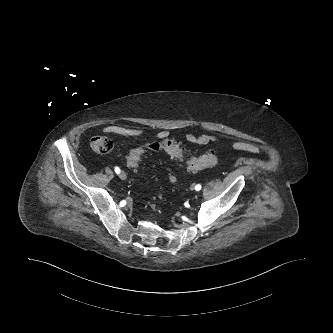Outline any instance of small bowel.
Masks as SVG:
<instances>
[{"instance_id": "small-bowel-1", "label": "small bowel", "mask_w": 333, "mask_h": 333, "mask_svg": "<svg viewBox=\"0 0 333 333\" xmlns=\"http://www.w3.org/2000/svg\"><path fill=\"white\" fill-rule=\"evenodd\" d=\"M103 132L105 134L124 136V137H137L143 134V129L139 127H124L119 125H107L103 128ZM157 141H164L170 139V134L167 130H161L156 135ZM185 140L188 143L196 144V145H206L211 142L215 143H225L226 139L210 133H201L195 134L192 132H188L185 134ZM234 145L240 147L242 149H246L249 151L257 152L259 148L253 144H246L240 142H234Z\"/></svg>"}]
</instances>
